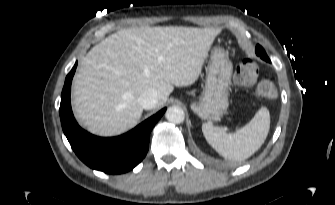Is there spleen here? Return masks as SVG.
<instances>
[{
    "instance_id": "1",
    "label": "spleen",
    "mask_w": 335,
    "mask_h": 205,
    "mask_svg": "<svg viewBox=\"0 0 335 205\" xmlns=\"http://www.w3.org/2000/svg\"><path fill=\"white\" fill-rule=\"evenodd\" d=\"M269 129L270 114L266 107H261L248 124L234 133H226L210 123L202 124L207 142L221 156L234 161H242L253 155L266 140Z\"/></svg>"
}]
</instances>
